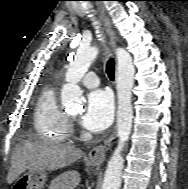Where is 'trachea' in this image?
I'll list each match as a JSON object with an SVG mask.
<instances>
[{
  "instance_id": "3493384b",
  "label": "trachea",
  "mask_w": 188,
  "mask_h": 189,
  "mask_svg": "<svg viewBox=\"0 0 188 189\" xmlns=\"http://www.w3.org/2000/svg\"><path fill=\"white\" fill-rule=\"evenodd\" d=\"M106 72L110 80H113L115 74V62L112 58H110L106 64Z\"/></svg>"
}]
</instances>
